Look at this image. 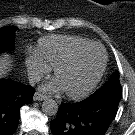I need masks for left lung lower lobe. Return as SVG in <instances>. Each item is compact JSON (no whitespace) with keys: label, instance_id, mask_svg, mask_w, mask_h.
<instances>
[{"label":"left lung lower lobe","instance_id":"0a47b994","mask_svg":"<svg viewBox=\"0 0 135 135\" xmlns=\"http://www.w3.org/2000/svg\"><path fill=\"white\" fill-rule=\"evenodd\" d=\"M121 88H100L78 103H61L50 127L53 135H104L116 116Z\"/></svg>","mask_w":135,"mask_h":135}]
</instances>
